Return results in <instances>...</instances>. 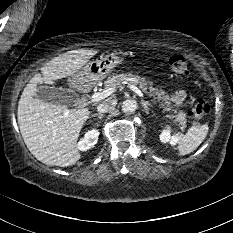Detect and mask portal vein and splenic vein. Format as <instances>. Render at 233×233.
I'll use <instances>...</instances> for the list:
<instances>
[{"label":"portal vein and splenic vein","mask_w":233,"mask_h":233,"mask_svg":"<svg viewBox=\"0 0 233 233\" xmlns=\"http://www.w3.org/2000/svg\"><path fill=\"white\" fill-rule=\"evenodd\" d=\"M124 84H127V82H124ZM128 86L130 89H132L138 96L140 97H144V94L142 93V91L136 87L135 85L133 84H130L128 83ZM116 91V88L115 87H109V88H106L104 89L103 91L101 92H97V93H94L91 95L90 99H91V102H97V101H100L106 97H108L109 95H111L113 92ZM69 112L66 111L64 113L65 116H68Z\"/></svg>","instance_id":"1"}]
</instances>
